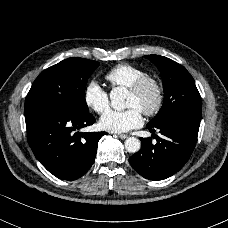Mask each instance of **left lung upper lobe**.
<instances>
[{
  "label": "left lung upper lobe",
  "instance_id": "1",
  "mask_svg": "<svg viewBox=\"0 0 228 228\" xmlns=\"http://www.w3.org/2000/svg\"><path fill=\"white\" fill-rule=\"evenodd\" d=\"M145 57L158 67L165 93L163 106L147 125L155 126L178 115L201 119V97L190 73L169 58L159 55Z\"/></svg>",
  "mask_w": 228,
  "mask_h": 228
}]
</instances>
